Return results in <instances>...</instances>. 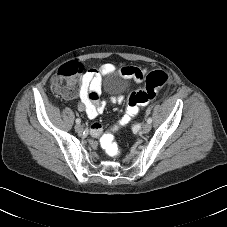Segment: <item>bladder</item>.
<instances>
[{"mask_svg": "<svg viewBox=\"0 0 227 227\" xmlns=\"http://www.w3.org/2000/svg\"><path fill=\"white\" fill-rule=\"evenodd\" d=\"M109 83H111V84L114 83V80L113 79H110L109 80Z\"/></svg>", "mask_w": 227, "mask_h": 227, "instance_id": "31cf9c89", "label": "bladder"}]
</instances>
